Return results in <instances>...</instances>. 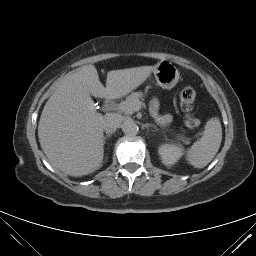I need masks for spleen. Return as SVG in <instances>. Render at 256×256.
Wrapping results in <instances>:
<instances>
[{
	"label": "spleen",
	"instance_id": "1",
	"mask_svg": "<svg viewBox=\"0 0 256 256\" xmlns=\"http://www.w3.org/2000/svg\"><path fill=\"white\" fill-rule=\"evenodd\" d=\"M222 141V128L218 118L207 121L202 137L186 153V160L195 168H204L214 158Z\"/></svg>",
	"mask_w": 256,
	"mask_h": 256
}]
</instances>
